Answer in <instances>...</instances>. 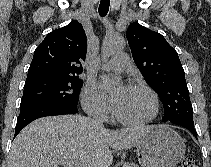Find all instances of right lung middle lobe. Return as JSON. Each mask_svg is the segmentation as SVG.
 Masks as SVG:
<instances>
[{
  "mask_svg": "<svg viewBox=\"0 0 211 167\" xmlns=\"http://www.w3.org/2000/svg\"><path fill=\"white\" fill-rule=\"evenodd\" d=\"M83 81L77 76L43 77L25 82L20 111L44 105L77 106Z\"/></svg>",
  "mask_w": 211,
  "mask_h": 167,
  "instance_id": "right-lung-middle-lobe-1",
  "label": "right lung middle lobe"
}]
</instances>
